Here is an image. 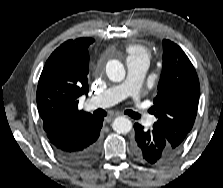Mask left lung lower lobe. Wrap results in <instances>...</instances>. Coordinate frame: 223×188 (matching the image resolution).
Segmentation results:
<instances>
[{
  "instance_id": "left-lung-lower-lobe-1",
  "label": "left lung lower lobe",
  "mask_w": 223,
  "mask_h": 188,
  "mask_svg": "<svg viewBox=\"0 0 223 188\" xmlns=\"http://www.w3.org/2000/svg\"><path fill=\"white\" fill-rule=\"evenodd\" d=\"M134 129L133 152L142 161L149 164L163 163L177 153L160 129L153 126V129L146 131L138 123L134 124Z\"/></svg>"
}]
</instances>
